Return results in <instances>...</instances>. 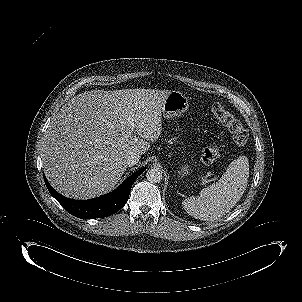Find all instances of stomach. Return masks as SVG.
Segmentation results:
<instances>
[{
	"instance_id": "0dacf381",
	"label": "stomach",
	"mask_w": 302,
	"mask_h": 302,
	"mask_svg": "<svg viewBox=\"0 0 302 302\" xmlns=\"http://www.w3.org/2000/svg\"><path fill=\"white\" fill-rule=\"evenodd\" d=\"M189 108V99L179 91H170L165 97L161 111L164 117L171 118L182 115ZM191 172L188 165H182L178 171L179 177L187 176Z\"/></svg>"
}]
</instances>
